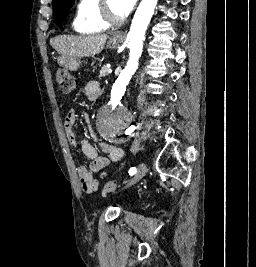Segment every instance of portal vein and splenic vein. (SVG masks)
Instances as JSON below:
<instances>
[{
    "label": "portal vein and splenic vein",
    "instance_id": "obj_1",
    "mask_svg": "<svg viewBox=\"0 0 256 267\" xmlns=\"http://www.w3.org/2000/svg\"><path fill=\"white\" fill-rule=\"evenodd\" d=\"M107 73H108V74H111V73H112V68H109V69L107 70Z\"/></svg>",
    "mask_w": 256,
    "mask_h": 267
}]
</instances>
